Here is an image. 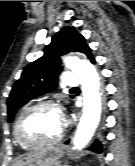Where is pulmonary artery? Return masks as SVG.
I'll return each instance as SVG.
<instances>
[{"instance_id": "obj_1", "label": "pulmonary artery", "mask_w": 135, "mask_h": 166, "mask_svg": "<svg viewBox=\"0 0 135 166\" xmlns=\"http://www.w3.org/2000/svg\"><path fill=\"white\" fill-rule=\"evenodd\" d=\"M79 83L78 78L73 72L66 71L63 73V84L67 87H75Z\"/></svg>"}]
</instances>
